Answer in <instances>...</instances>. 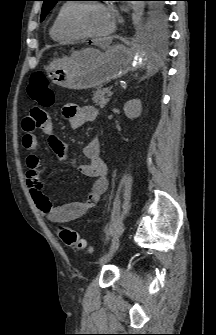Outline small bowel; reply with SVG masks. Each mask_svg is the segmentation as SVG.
Segmentation results:
<instances>
[{"label": "small bowel", "instance_id": "small-bowel-1", "mask_svg": "<svg viewBox=\"0 0 216 335\" xmlns=\"http://www.w3.org/2000/svg\"><path fill=\"white\" fill-rule=\"evenodd\" d=\"M63 113L68 118L70 127L78 129L83 124L94 121L98 111L91 105L68 104ZM50 119L51 114L48 108H42L41 104H34L33 108L30 109L29 117L22 124L24 131L22 145L28 153L25 159L28 168L26 180L33 201L38 210L49 221L58 224L76 220L93 209L106 192L108 180L106 177L107 168L100 155L99 140L92 138L87 142L83 149V156L87 161L81 162L63 141L53 135V125L49 121ZM35 130H40L50 136V146L60 160L74 164L84 176L94 179L86 199L61 206H55L51 203L40 178L41 160L37 155L39 139L34 133Z\"/></svg>", "mask_w": 216, "mask_h": 335}]
</instances>
